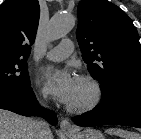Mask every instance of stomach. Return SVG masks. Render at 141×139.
I'll return each mask as SVG.
<instances>
[{
  "mask_svg": "<svg viewBox=\"0 0 141 139\" xmlns=\"http://www.w3.org/2000/svg\"><path fill=\"white\" fill-rule=\"evenodd\" d=\"M67 135L69 139H105L104 135L100 131L92 128L74 133H67Z\"/></svg>",
  "mask_w": 141,
  "mask_h": 139,
  "instance_id": "1",
  "label": "stomach"
}]
</instances>
